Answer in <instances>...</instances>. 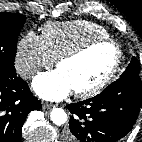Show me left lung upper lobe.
Masks as SVG:
<instances>
[{
  "label": "left lung upper lobe",
  "instance_id": "5c2ea615",
  "mask_svg": "<svg viewBox=\"0 0 142 142\" xmlns=\"http://www.w3.org/2000/svg\"><path fill=\"white\" fill-rule=\"evenodd\" d=\"M139 73H140L139 62L136 57H133L130 64L128 65L124 73L121 75V77L133 75V74L139 75Z\"/></svg>",
  "mask_w": 142,
  "mask_h": 142
}]
</instances>
